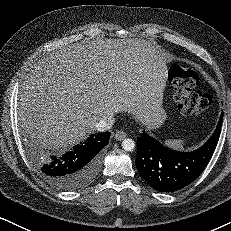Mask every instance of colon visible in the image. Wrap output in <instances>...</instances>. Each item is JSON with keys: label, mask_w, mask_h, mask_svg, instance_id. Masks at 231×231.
<instances>
[{"label": "colon", "mask_w": 231, "mask_h": 231, "mask_svg": "<svg viewBox=\"0 0 231 231\" xmlns=\"http://www.w3.org/2000/svg\"><path fill=\"white\" fill-rule=\"evenodd\" d=\"M168 78L174 87V98L182 113L200 114L210 107L211 97L194 90L199 79L194 69L173 65L169 69Z\"/></svg>", "instance_id": "colon-1"}]
</instances>
